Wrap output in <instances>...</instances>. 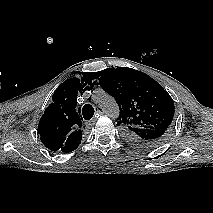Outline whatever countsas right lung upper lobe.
Here are the masks:
<instances>
[{"instance_id": "right-lung-upper-lobe-1", "label": "right lung upper lobe", "mask_w": 213, "mask_h": 213, "mask_svg": "<svg viewBox=\"0 0 213 213\" xmlns=\"http://www.w3.org/2000/svg\"><path fill=\"white\" fill-rule=\"evenodd\" d=\"M95 77L70 78L54 92L51 103L44 111L38 125L42 143L52 151L71 152L82 141V117L77 112V94L94 86Z\"/></svg>"}]
</instances>
